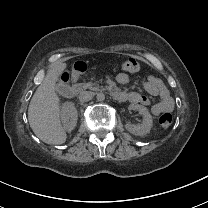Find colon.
<instances>
[{
    "label": "colon",
    "mask_w": 208,
    "mask_h": 208,
    "mask_svg": "<svg viewBox=\"0 0 208 208\" xmlns=\"http://www.w3.org/2000/svg\"><path fill=\"white\" fill-rule=\"evenodd\" d=\"M76 76L82 75L86 71V63L78 60L73 65ZM117 71L120 74H135L139 71V63L133 56H128L117 65ZM173 123V117L170 113H164L160 119L159 124L162 128H169Z\"/></svg>",
    "instance_id": "obj_1"
}]
</instances>
